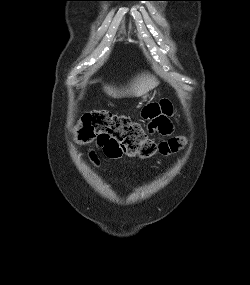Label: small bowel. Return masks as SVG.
<instances>
[{
  "label": "small bowel",
  "mask_w": 250,
  "mask_h": 285,
  "mask_svg": "<svg viewBox=\"0 0 250 285\" xmlns=\"http://www.w3.org/2000/svg\"><path fill=\"white\" fill-rule=\"evenodd\" d=\"M171 113L172 108L167 101L146 106L143 110V117L149 121V128H146V133L160 132L164 136H169L173 132L169 120Z\"/></svg>",
  "instance_id": "1"
}]
</instances>
